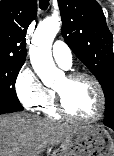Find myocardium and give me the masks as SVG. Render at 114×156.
Returning a JSON list of instances; mask_svg holds the SVG:
<instances>
[{
	"label": "myocardium",
	"mask_w": 114,
	"mask_h": 156,
	"mask_svg": "<svg viewBox=\"0 0 114 156\" xmlns=\"http://www.w3.org/2000/svg\"><path fill=\"white\" fill-rule=\"evenodd\" d=\"M65 78L68 81H74L80 78H86L90 80L97 91L98 99H99V107L97 113L93 117L90 118L76 117L66 109L62 93L55 89L56 110L59 113V115H61L65 119H68L73 122H78V123H93L98 121L102 117L105 110V95L99 80L94 75L82 71L70 73Z\"/></svg>",
	"instance_id": "obj_1"
}]
</instances>
